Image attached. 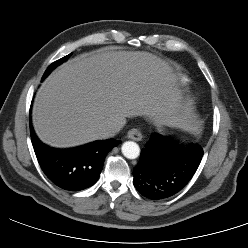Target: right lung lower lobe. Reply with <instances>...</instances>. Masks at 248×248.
Segmentation results:
<instances>
[{"label": "right lung lower lobe", "instance_id": "1", "mask_svg": "<svg viewBox=\"0 0 248 248\" xmlns=\"http://www.w3.org/2000/svg\"><path fill=\"white\" fill-rule=\"evenodd\" d=\"M29 118L32 145L39 165L45 175L64 190L80 191L94 185L106 155L121 142L111 138L71 149L51 148L37 138L31 116Z\"/></svg>", "mask_w": 248, "mask_h": 248}]
</instances>
